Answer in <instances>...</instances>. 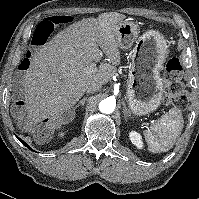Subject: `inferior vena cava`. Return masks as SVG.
Here are the masks:
<instances>
[{
	"label": "inferior vena cava",
	"instance_id": "obj_1",
	"mask_svg": "<svg viewBox=\"0 0 199 199\" xmlns=\"http://www.w3.org/2000/svg\"><path fill=\"white\" fill-rule=\"evenodd\" d=\"M101 89V85L99 83H92L90 84L87 89L86 92L91 93V92H95Z\"/></svg>",
	"mask_w": 199,
	"mask_h": 199
}]
</instances>
